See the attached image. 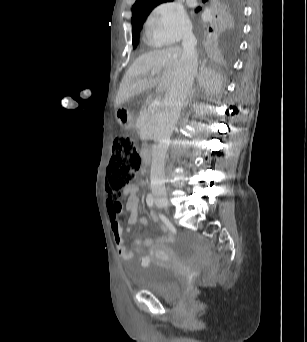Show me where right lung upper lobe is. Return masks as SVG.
<instances>
[{
	"mask_svg": "<svg viewBox=\"0 0 307 342\" xmlns=\"http://www.w3.org/2000/svg\"><path fill=\"white\" fill-rule=\"evenodd\" d=\"M173 0H136L132 7V35L139 34L142 25L150 11L160 3ZM207 7H200L202 34L212 42L221 41L229 31L238 11L236 0H202Z\"/></svg>",
	"mask_w": 307,
	"mask_h": 342,
	"instance_id": "cb5924a9",
	"label": "right lung upper lobe"
}]
</instances>
